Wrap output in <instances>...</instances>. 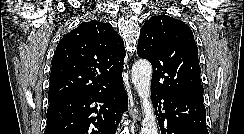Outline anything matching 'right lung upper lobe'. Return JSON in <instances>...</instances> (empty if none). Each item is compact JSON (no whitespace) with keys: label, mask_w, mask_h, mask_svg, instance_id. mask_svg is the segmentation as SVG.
I'll list each match as a JSON object with an SVG mask.
<instances>
[{"label":"right lung upper lobe","mask_w":244,"mask_h":134,"mask_svg":"<svg viewBox=\"0 0 244 134\" xmlns=\"http://www.w3.org/2000/svg\"><path fill=\"white\" fill-rule=\"evenodd\" d=\"M124 43L109 23L83 22L59 42L52 58L48 101L101 91L123 70Z\"/></svg>","instance_id":"right-lung-upper-lobe-1"}]
</instances>
